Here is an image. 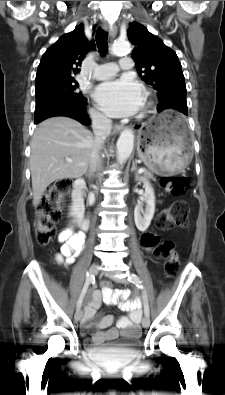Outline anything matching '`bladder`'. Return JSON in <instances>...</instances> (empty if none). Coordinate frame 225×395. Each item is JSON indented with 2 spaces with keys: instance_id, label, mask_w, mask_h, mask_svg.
<instances>
[{
  "instance_id": "bladder-1",
  "label": "bladder",
  "mask_w": 225,
  "mask_h": 395,
  "mask_svg": "<svg viewBox=\"0 0 225 395\" xmlns=\"http://www.w3.org/2000/svg\"><path fill=\"white\" fill-rule=\"evenodd\" d=\"M141 345L139 339L121 340L107 349L98 350L97 354L105 359H124L137 352Z\"/></svg>"
}]
</instances>
